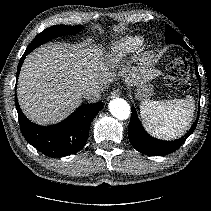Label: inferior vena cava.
Wrapping results in <instances>:
<instances>
[{"instance_id":"inferior-vena-cava-1","label":"inferior vena cava","mask_w":211,"mask_h":211,"mask_svg":"<svg viewBox=\"0 0 211 211\" xmlns=\"http://www.w3.org/2000/svg\"><path fill=\"white\" fill-rule=\"evenodd\" d=\"M102 91L101 87L88 88L83 91V98L88 102L95 103L100 99Z\"/></svg>"}]
</instances>
